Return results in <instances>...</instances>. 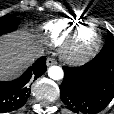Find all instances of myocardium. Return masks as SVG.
<instances>
[{
    "instance_id": "obj_1",
    "label": "myocardium",
    "mask_w": 114,
    "mask_h": 114,
    "mask_svg": "<svg viewBox=\"0 0 114 114\" xmlns=\"http://www.w3.org/2000/svg\"><path fill=\"white\" fill-rule=\"evenodd\" d=\"M90 24L93 26L96 32V38L94 42L86 47L80 46L78 44V33L82 26ZM102 42L101 32L96 23L92 21H85L76 24L72 30L69 32L67 38L64 41L63 53L65 58L71 63H81L87 61L93 57L99 50Z\"/></svg>"
}]
</instances>
